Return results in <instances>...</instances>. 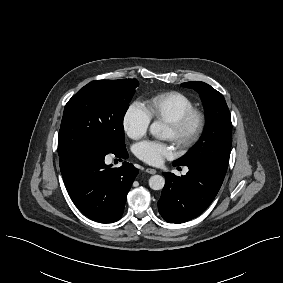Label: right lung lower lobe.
Segmentation results:
<instances>
[{"mask_svg": "<svg viewBox=\"0 0 283 283\" xmlns=\"http://www.w3.org/2000/svg\"><path fill=\"white\" fill-rule=\"evenodd\" d=\"M109 153L128 158L126 147L111 152L83 147L60 159L63 181L71 199L87 217L100 223L115 222L121 217L138 174V169L128 162L119 168L106 165L104 158Z\"/></svg>", "mask_w": 283, "mask_h": 283, "instance_id": "right-lung-lower-lobe-1", "label": "right lung lower lobe"}]
</instances>
